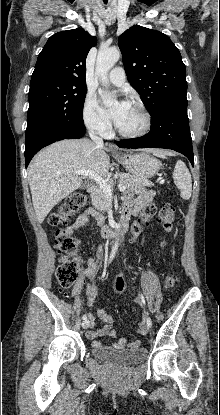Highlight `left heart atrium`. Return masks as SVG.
Wrapping results in <instances>:
<instances>
[{
  "mask_svg": "<svg viewBox=\"0 0 220 415\" xmlns=\"http://www.w3.org/2000/svg\"><path fill=\"white\" fill-rule=\"evenodd\" d=\"M127 106L128 102L121 100L113 107L104 109L103 113L107 119L113 121L117 125L125 115Z\"/></svg>",
  "mask_w": 220,
  "mask_h": 415,
  "instance_id": "39dd6f15",
  "label": "left heart atrium"
}]
</instances>
